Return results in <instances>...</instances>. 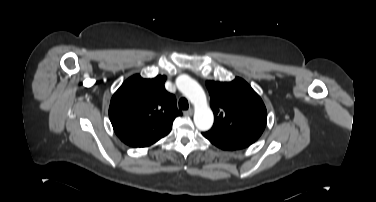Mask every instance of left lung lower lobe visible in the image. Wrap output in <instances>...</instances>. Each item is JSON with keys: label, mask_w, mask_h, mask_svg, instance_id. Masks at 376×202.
Listing matches in <instances>:
<instances>
[{"label": "left lung lower lobe", "mask_w": 376, "mask_h": 202, "mask_svg": "<svg viewBox=\"0 0 376 202\" xmlns=\"http://www.w3.org/2000/svg\"><path fill=\"white\" fill-rule=\"evenodd\" d=\"M202 135L208 139L215 146L224 150H237L248 147L252 143H249L243 139L227 135L220 131L210 129L203 132Z\"/></svg>", "instance_id": "0a47b994"}]
</instances>
